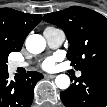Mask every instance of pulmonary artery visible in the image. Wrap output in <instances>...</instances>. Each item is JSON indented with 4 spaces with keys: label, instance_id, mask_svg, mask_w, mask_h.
<instances>
[{
    "label": "pulmonary artery",
    "instance_id": "obj_1",
    "mask_svg": "<svg viewBox=\"0 0 107 107\" xmlns=\"http://www.w3.org/2000/svg\"><path fill=\"white\" fill-rule=\"evenodd\" d=\"M44 37L47 41L48 46L53 49L60 47L65 39L64 33L60 29H56V28L55 29H45ZM26 66H27V63L19 62V61L12 62L10 65L11 69H13V70L20 68V67H26ZM76 75L78 77H80L81 72L78 71L76 73Z\"/></svg>",
    "mask_w": 107,
    "mask_h": 107
}]
</instances>
